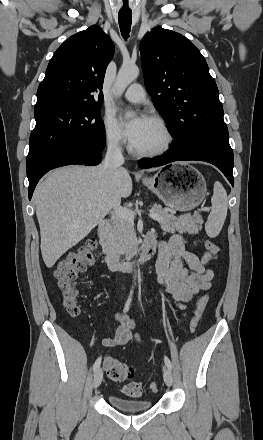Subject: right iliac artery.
I'll use <instances>...</instances> for the list:
<instances>
[{"instance_id":"82829eb1","label":"right iliac artery","mask_w":263,"mask_h":440,"mask_svg":"<svg viewBox=\"0 0 263 440\" xmlns=\"http://www.w3.org/2000/svg\"><path fill=\"white\" fill-rule=\"evenodd\" d=\"M132 294H133V291L131 290L130 295L128 297V300L126 301V304H125L124 309H123L124 313H126L129 310V307H130V304H131V301H132ZM100 364H101V357H99L95 361V363L93 365V370L96 371L99 368Z\"/></svg>"}]
</instances>
